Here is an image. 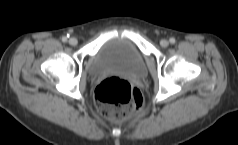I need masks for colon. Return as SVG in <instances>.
Masks as SVG:
<instances>
[{"instance_id": "5ec220e1", "label": "colon", "mask_w": 238, "mask_h": 145, "mask_svg": "<svg viewBox=\"0 0 238 145\" xmlns=\"http://www.w3.org/2000/svg\"><path fill=\"white\" fill-rule=\"evenodd\" d=\"M95 101L99 111L114 120L131 118L143 107L141 92L118 76L108 77L96 87Z\"/></svg>"}]
</instances>
